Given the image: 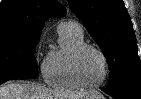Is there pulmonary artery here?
Returning a JSON list of instances; mask_svg holds the SVG:
<instances>
[{
  "label": "pulmonary artery",
  "instance_id": "obj_1",
  "mask_svg": "<svg viewBox=\"0 0 141 99\" xmlns=\"http://www.w3.org/2000/svg\"><path fill=\"white\" fill-rule=\"evenodd\" d=\"M59 33H73L77 35H83L82 26L72 20L62 21L58 25Z\"/></svg>",
  "mask_w": 141,
  "mask_h": 99
}]
</instances>
